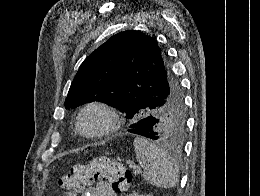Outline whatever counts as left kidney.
I'll return each instance as SVG.
<instances>
[{
    "instance_id": "obj_1",
    "label": "left kidney",
    "mask_w": 260,
    "mask_h": 196,
    "mask_svg": "<svg viewBox=\"0 0 260 196\" xmlns=\"http://www.w3.org/2000/svg\"><path fill=\"white\" fill-rule=\"evenodd\" d=\"M129 196H138V194H129Z\"/></svg>"
}]
</instances>
